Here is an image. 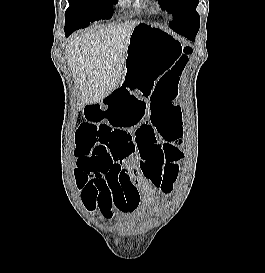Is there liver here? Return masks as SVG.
<instances>
[{
  "label": "liver",
  "mask_w": 265,
  "mask_h": 273,
  "mask_svg": "<svg viewBox=\"0 0 265 273\" xmlns=\"http://www.w3.org/2000/svg\"><path fill=\"white\" fill-rule=\"evenodd\" d=\"M138 22L98 28L70 40L66 56L81 90V107L98 103L119 85L125 73L129 40Z\"/></svg>",
  "instance_id": "liver-1"
}]
</instances>
